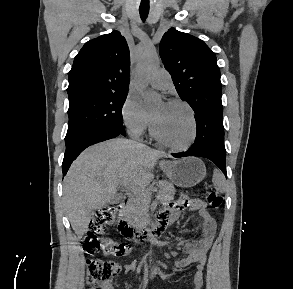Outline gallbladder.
Wrapping results in <instances>:
<instances>
[{
	"instance_id": "1",
	"label": "gallbladder",
	"mask_w": 293,
	"mask_h": 289,
	"mask_svg": "<svg viewBox=\"0 0 293 289\" xmlns=\"http://www.w3.org/2000/svg\"><path fill=\"white\" fill-rule=\"evenodd\" d=\"M121 200V196H116L114 197L109 203L113 204V203H117Z\"/></svg>"
}]
</instances>
